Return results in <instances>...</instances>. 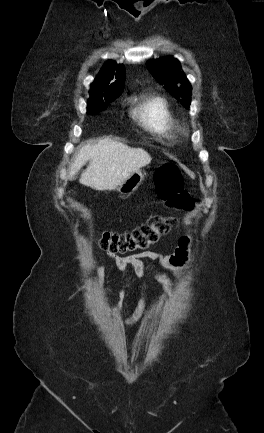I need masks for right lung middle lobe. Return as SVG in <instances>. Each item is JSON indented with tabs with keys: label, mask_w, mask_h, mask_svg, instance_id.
I'll use <instances>...</instances> for the list:
<instances>
[{
	"label": "right lung middle lobe",
	"mask_w": 264,
	"mask_h": 433,
	"mask_svg": "<svg viewBox=\"0 0 264 433\" xmlns=\"http://www.w3.org/2000/svg\"><path fill=\"white\" fill-rule=\"evenodd\" d=\"M115 99H116V97L112 98V99H108V100H102V99L88 100L89 103L87 106V113L100 112V111L104 110L109 105V103H111Z\"/></svg>",
	"instance_id": "obj_1"
}]
</instances>
